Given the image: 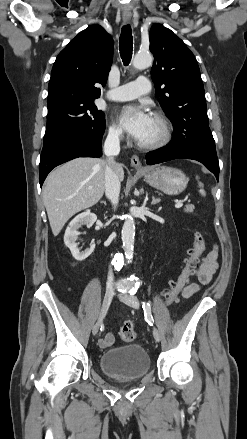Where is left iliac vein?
I'll return each instance as SVG.
<instances>
[{
  "instance_id": "obj_1",
  "label": "left iliac vein",
  "mask_w": 247,
  "mask_h": 439,
  "mask_svg": "<svg viewBox=\"0 0 247 439\" xmlns=\"http://www.w3.org/2000/svg\"><path fill=\"white\" fill-rule=\"evenodd\" d=\"M118 297L122 302L129 305L130 307H133L135 309H138L140 307L139 300L136 296L129 294H119ZM153 336L157 342L160 341V333L156 328H153Z\"/></svg>"
}]
</instances>
